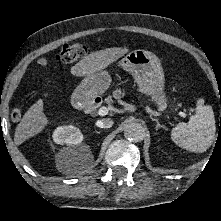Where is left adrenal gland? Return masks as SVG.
I'll list each match as a JSON object with an SVG mask.
<instances>
[{"label":"left adrenal gland","mask_w":221,"mask_h":221,"mask_svg":"<svg viewBox=\"0 0 221 221\" xmlns=\"http://www.w3.org/2000/svg\"><path fill=\"white\" fill-rule=\"evenodd\" d=\"M150 118H151L152 121L156 122V130H158L160 128L165 129V127L163 125H161L157 119L153 118L152 116H150Z\"/></svg>","instance_id":"1"}]
</instances>
